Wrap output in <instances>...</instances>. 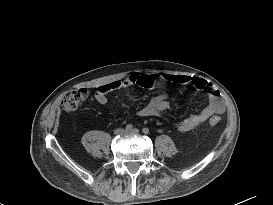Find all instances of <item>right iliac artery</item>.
Returning a JSON list of instances; mask_svg holds the SVG:
<instances>
[{
  "mask_svg": "<svg viewBox=\"0 0 273 205\" xmlns=\"http://www.w3.org/2000/svg\"><path fill=\"white\" fill-rule=\"evenodd\" d=\"M125 128H126V130H131L133 128V125L132 124H127Z\"/></svg>",
  "mask_w": 273,
  "mask_h": 205,
  "instance_id": "obj_1",
  "label": "right iliac artery"
}]
</instances>
